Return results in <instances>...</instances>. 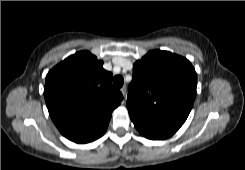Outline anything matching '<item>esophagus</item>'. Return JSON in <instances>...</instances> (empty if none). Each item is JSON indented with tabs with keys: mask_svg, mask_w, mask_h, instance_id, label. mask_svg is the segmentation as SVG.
Masks as SVG:
<instances>
[{
	"mask_svg": "<svg viewBox=\"0 0 245 170\" xmlns=\"http://www.w3.org/2000/svg\"><path fill=\"white\" fill-rule=\"evenodd\" d=\"M120 90H121V93H122L123 97H125V95H126V87L123 86Z\"/></svg>",
	"mask_w": 245,
	"mask_h": 170,
	"instance_id": "34e87169",
	"label": "esophagus"
}]
</instances>
